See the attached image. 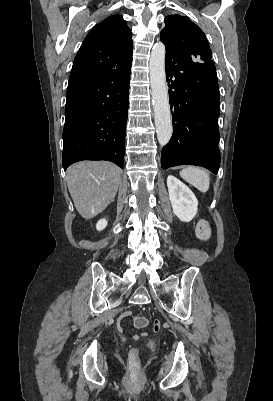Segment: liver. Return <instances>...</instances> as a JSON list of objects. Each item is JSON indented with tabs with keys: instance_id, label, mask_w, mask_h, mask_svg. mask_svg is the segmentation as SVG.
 Instances as JSON below:
<instances>
[{
	"instance_id": "obj_1",
	"label": "liver",
	"mask_w": 273,
	"mask_h": 401,
	"mask_svg": "<svg viewBox=\"0 0 273 401\" xmlns=\"http://www.w3.org/2000/svg\"><path fill=\"white\" fill-rule=\"evenodd\" d=\"M121 174L119 166L104 160L77 162L67 168L69 192L83 219H93L112 203Z\"/></svg>"
}]
</instances>
